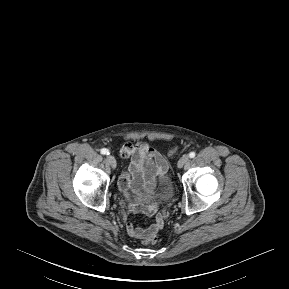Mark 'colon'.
Masks as SVG:
<instances>
[{
	"label": "colon",
	"instance_id": "obj_1",
	"mask_svg": "<svg viewBox=\"0 0 289 289\" xmlns=\"http://www.w3.org/2000/svg\"><path fill=\"white\" fill-rule=\"evenodd\" d=\"M158 241L157 233L151 234L143 240V244H155Z\"/></svg>",
	"mask_w": 289,
	"mask_h": 289
}]
</instances>
